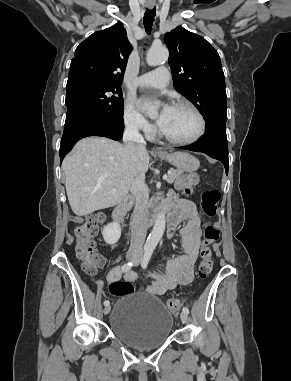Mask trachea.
Instances as JSON below:
<instances>
[{
  "label": "trachea",
  "instance_id": "obj_1",
  "mask_svg": "<svg viewBox=\"0 0 291 381\" xmlns=\"http://www.w3.org/2000/svg\"><path fill=\"white\" fill-rule=\"evenodd\" d=\"M156 9L153 8L151 10L146 9V12L144 14V27L146 29V32L150 34V31L152 29V25L155 18Z\"/></svg>",
  "mask_w": 291,
  "mask_h": 381
}]
</instances>
